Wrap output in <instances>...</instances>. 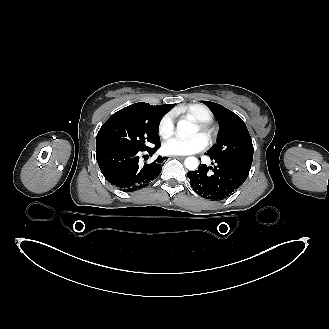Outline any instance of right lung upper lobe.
Segmentation results:
<instances>
[{
    "mask_svg": "<svg viewBox=\"0 0 329 329\" xmlns=\"http://www.w3.org/2000/svg\"><path fill=\"white\" fill-rule=\"evenodd\" d=\"M148 105H149L148 103L139 102V103H135L130 106H127V107L117 111L116 113H114L106 122L135 116V115L141 113L142 110L148 108ZM159 106L163 109L169 110L174 106V104L159 105Z\"/></svg>",
    "mask_w": 329,
    "mask_h": 329,
    "instance_id": "1",
    "label": "right lung upper lobe"
}]
</instances>
